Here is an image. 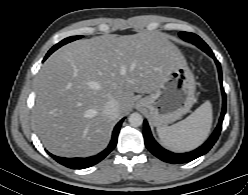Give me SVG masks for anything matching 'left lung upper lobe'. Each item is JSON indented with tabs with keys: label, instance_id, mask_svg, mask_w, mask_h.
<instances>
[{
	"label": "left lung upper lobe",
	"instance_id": "obj_1",
	"mask_svg": "<svg viewBox=\"0 0 248 195\" xmlns=\"http://www.w3.org/2000/svg\"><path fill=\"white\" fill-rule=\"evenodd\" d=\"M179 35L182 39L196 45L200 49H210L209 46L198 35L194 33L180 32Z\"/></svg>",
	"mask_w": 248,
	"mask_h": 195
}]
</instances>
